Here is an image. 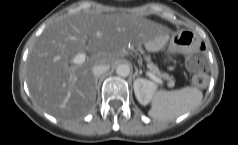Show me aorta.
<instances>
[{"instance_id":"762f6f07","label":"aorta","mask_w":238,"mask_h":145,"mask_svg":"<svg viewBox=\"0 0 238 145\" xmlns=\"http://www.w3.org/2000/svg\"><path fill=\"white\" fill-rule=\"evenodd\" d=\"M117 75L121 77H127L130 74V67L127 64H120L116 68Z\"/></svg>"}]
</instances>
